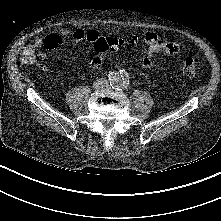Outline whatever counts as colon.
<instances>
[{"label":"colon","mask_w":221,"mask_h":221,"mask_svg":"<svg viewBox=\"0 0 221 221\" xmlns=\"http://www.w3.org/2000/svg\"><path fill=\"white\" fill-rule=\"evenodd\" d=\"M130 45H135L137 40L131 38L127 41ZM125 44L122 39L111 38V37H100L94 44V50L99 53H105L109 49H113ZM20 59L24 64H33L36 61V47L34 45L25 46L20 54ZM178 72L183 77L191 78L195 76L197 72L196 63L193 58H186L182 65L179 67Z\"/></svg>","instance_id":"obj_1"}]
</instances>
